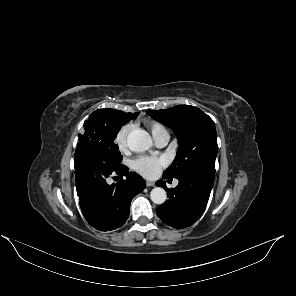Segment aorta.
I'll return each instance as SVG.
<instances>
[{"label":"aorta","mask_w":296,"mask_h":296,"mask_svg":"<svg viewBox=\"0 0 296 296\" xmlns=\"http://www.w3.org/2000/svg\"><path fill=\"white\" fill-rule=\"evenodd\" d=\"M127 145L133 152H144L152 146V139L148 133L135 130L128 136ZM150 198L155 204H163L167 194L163 188L155 187L150 192Z\"/></svg>","instance_id":"aorta-1"}]
</instances>
